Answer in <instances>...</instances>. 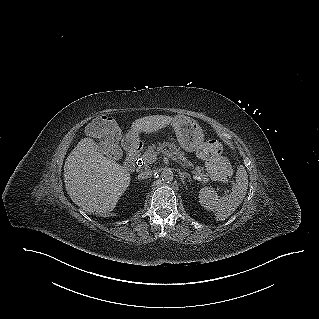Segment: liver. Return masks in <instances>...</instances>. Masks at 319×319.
Instances as JSON below:
<instances>
[{"instance_id": "obj_1", "label": "liver", "mask_w": 319, "mask_h": 319, "mask_svg": "<svg viewBox=\"0 0 319 319\" xmlns=\"http://www.w3.org/2000/svg\"><path fill=\"white\" fill-rule=\"evenodd\" d=\"M175 118L165 115L137 119L131 132L156 133ZM130 173L105 157L91 138H83L69 154L64 165V182L71 200L84 211L100 214L114 210L130 185Z\"/></svg>"}]
</instances>
